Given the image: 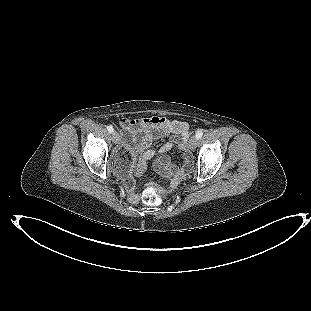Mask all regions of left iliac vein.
<instances>
[{"label":"left iliac vein","instance_id":"4c4485c4","mask_svg":"<svg viewBox=\"0 0 311 311\" xmlns=\"http://www.w3.org/2000/svg\"><path fill=\"white\" fill-rule=\"evenodd\" d=\"M198 138L196 136H192L189 140V148L194 150L197 146Z\"/></svg>","mask_w":311,"mask_h":311}]
</instances>
